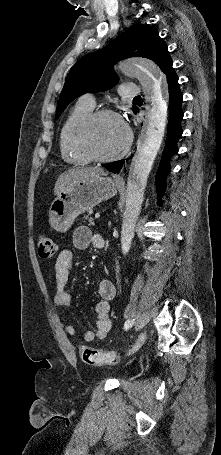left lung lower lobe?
I'll use <instances>...</instances> for the list:
<instances>
[{
    "label": "left lung lower lobe",
    "instance_id": "0a47b994",
    "mask_svg": "<svg viewBox=\"0 0 221 455\" xmlns=\"http://www.w3.org/2000/svg\"><path fill=\"white\" fill-rule=\"evenodd\" d=\"M164 73L169 87V121L164 151L155 176L158 195H163L166 176L171 170L170 159L178 152L177 141L182 135L181 120L183 118L181 110L183 96L179 89L178 77L172 65ZM123 163L124 160L116 161L106 165V168L117 173L122 168Z\"/></svg>",
    "mask_w": 221,
    "mask_h": 455
}]
</instances>
